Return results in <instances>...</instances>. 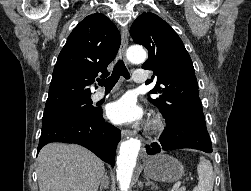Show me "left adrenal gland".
<instances>
[{
	"mask_svg": "<svg viewBox=\"0 0 251 191\" xmlns=\"http://www.w3.org/2000/svg\"><path fill=\"white\" fill-rule=\"evenodd\" d=\"M145 185H152V187H154V189H157L158 185H156V183H153V181H150V179H147Z\"/></svg>",
	"mask_w": 251,
	"mask_h": 191,
	"instance_id": "a2214340",
	"label": "left adrenal gland"
}]
</instances>
